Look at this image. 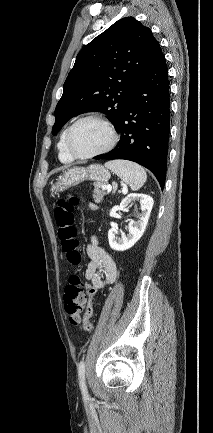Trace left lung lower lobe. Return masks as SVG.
Wrapping results in <instances>:
<instances>
[{
  "label": "left lung lower lobe",
  "instance_id": "1",
  "mask_svg": "<svg viewBox=\"0 0 213 433\" xmlns=\"http://www.w3.org/2000/svg\"><path fill=\"white\" fill-rule=\"evenodd\" d=\"M168 69L161 48L132 92L116 128L120 141L94 159H125L149 169L161 189L166 178L170 129Z\"/></svg>",
  "mask_w": 213,
  "mask_h": 433
}]
</instances>
